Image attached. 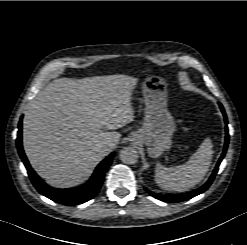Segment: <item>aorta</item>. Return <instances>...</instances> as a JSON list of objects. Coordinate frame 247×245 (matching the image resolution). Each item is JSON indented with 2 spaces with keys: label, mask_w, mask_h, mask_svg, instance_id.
Returning a JSON list of instances; mask_svg holds the SVG:
<instances>
[{
  "label": "aorta",
  "mask_w": 247,
  "mask_h": 245,
  "mask_svg": "<svg viewBox=\"0 0 247 245\" xmlns=\"http://www.w3.org/2000/svg\"><path fill=\"white\" fill-rule=\"evenodd\" d=\"M120 160L127 165H133L138 162V152L133 147H124L120 151Z\"/></svg>",
  "instance_id": "obj_1"
}]
</instances>
